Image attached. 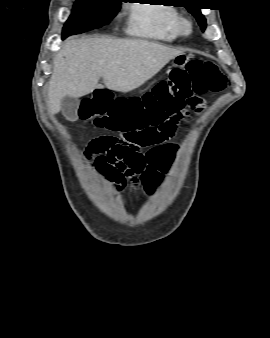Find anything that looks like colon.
<instances>
[{"mask_svg": "<svg viewBox=\"0 0 270 338\" xmlns=\"http://www.w3.org/2000/svg\"><path fill=\"white\" fill-rule=\"evenodd\" d=\"M227 85V77L215 63L193 59L142 98L114 99L107 91L95 92L82 101L78 119L114 130L137 146L109 175L110 181L121 187L125 178L133 181L146 172V161L138 148L154 147L148 156L155 161L161 150L158 145L175 135L179 121L202 109L200 97L220 92Z\"/></svg>", "mask_w": 270, "mask_h": 338, "instance_id": "1", "label": "colon"}]
</instances>
